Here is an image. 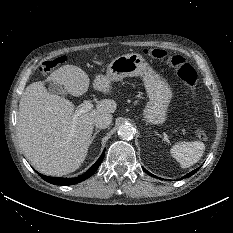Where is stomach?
I'll list each match as a JSON object with an SVG mask.
<instances>
[{
	"instance_id": "obj_1",
	"label": "stomach",
	"mask_w": 233,
	"mask_h": 233,
	"mask_svg": "<svg viewBox=\"0 0 233 233\" xmlns=\"http://www.w3.org/2000/svg\"><path fill=\"white\" fill-rule=\"evenodd\" d=\"M106 76L111 81L141 76L149 98L143 110L144 120L155 125L165 122L173 96L172 89L167 80L156 73L141 54L129 53L114 58L107 67Z\"/></svg>"
}]
</instances>
